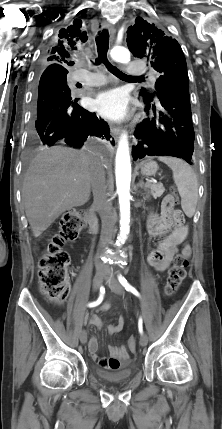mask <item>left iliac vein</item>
<instances>
[{
  "label": "left iliac vein",
  "instance_id": "4c4485c4",
  "mask_svg": "<svg viewBox=\"0 0 222 429\" xmlns=\"http://www.w3.org/2000/svg\"><path fill=\"white\" fill-rule=\"evenodd\" d=\"M107 283H108V286L110 287V289L114 293L119 294V295L123 294V287L121 286V284L113 276L108 277ZM147 342H148L147 335L145 333H142L141 336H140V339H139L140 345L141 346H146Z\"/></svg>",
  "mask_w": 222,
  "mask_h": 429
}]
</instances>
